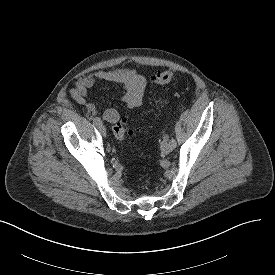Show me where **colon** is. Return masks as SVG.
I'll use <instances>...</instances> for the list:
<instances>
[{
	"label": "colon",
	"mask_w": 275,
	"mask_h": 275,
	"mask_svg": "<svg viewBox=\"0 0 275 275\" xmlns=\"http://www.w3.org/2000/svg\"><path fill=\"white\" fill-rule=\"evenodd\" d=\"M176 75L168 70L158 71L151 77V83L157 87H166L176 84ZM131 133L129 119L123 118L113 127V134L119 141H123Z\"/></svg>",
	"instance_id": "5ec220e1"
}]
</instances>
